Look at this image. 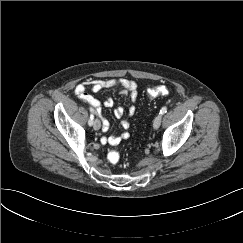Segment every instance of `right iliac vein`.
<instances>
[{"instance_id":"1","label":"right iliac vein","mask_w":243,"mask_h":243,"mask_svg":"<svg viewBox=\"0 0 243 243\" xmlns=\"http://www.w3.org/2000/svg\"><path fill=\"white\" fill-rule=\"evenodd\" d=\"M100 127H101V122H100L99 119L96 118V119L94 120V122H93V128H94L95 130H99Z\"/></svg>"}]
</instances>
